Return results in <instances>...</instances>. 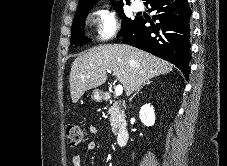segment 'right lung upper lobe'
Instances as JSON below:
<instances>
[{
  "label": "right lung upper lobe",
  "mask_w": 227,
  "mask_h": 166,
  "mask_svg": "<svg viewBox=\"0 0 227 166\" xmlns=\"http://www.w3.org/2000/svg\"><path fill=\"white\" fill-rule=\"evenodd\" d=\"M98 0H79V4L77 7V10H86V9H91L93 4H95ZM147 1V0H143ZM127 4L129 3V0H126ZM123 2L120 1L119 3H113L114 7L122 6Z\"/></svg>",
  "instance_id": "obj_1"
}]
</instances>
